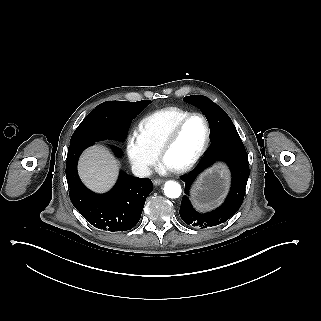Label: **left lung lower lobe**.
Here are the masks:
<instances>
[{"instance_id": "0a47b994", "label": "left lung lower lobe", "mask_w": 321, "mask_h": 321, "mask_svg": "<svg viewBox=\"0 0 321 321\" xmlns=\"http://www.w3.org/2000/svg\"><path fill=\"white\" fill-rule=\"evenodd\" d=\"M219 160L227 163L231 170L232 184L230 192L225 202L219 208L208 213H199L192 207L189 201V189L204 169ZM248 177V155L238 132L230 130L211 136V147L197 167L189 174L181 177L185 182L186 194L182 198L179 211L182 220L188 225L202 229L226 222L238 211L244 200Z\"/></svg>"}]
</instances>
